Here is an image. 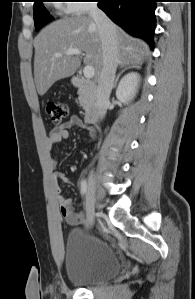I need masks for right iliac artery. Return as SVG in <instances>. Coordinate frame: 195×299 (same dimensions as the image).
<instances>
[{"mask_svg":"<svg viewBox=\"0 0 195 299\" xmlns=\"http://www.w3.org/2000/svg\"><path fill=\"white\" fill-rule=\"evenodd\" d=\"M87 192V182L85 180L81 181V193L84 195Z\"/></svg>","mask_w":195,"mask_h":299,"instance_id":"1","label":"right iliac artery"}]
</instances>
